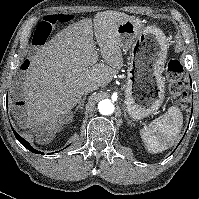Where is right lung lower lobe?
<instances>
[{
	"instance_id": "1",
	"label": "right lung lower lobe",
	"mask_w": 199,
	"mask_h": 199,
	"mask_svg": "<svg viewBox=\"0 0 199 199\" xmlns=\"http://www.w3.org/2000/svg\"><path fill=\"white\" fill-rule=\"evenodd\" d=\"M13 132H14V135L15 137L17 138V140L25 147L27 148L29 151L33 152V153H36V154H43V152H40L36 149H34L30 144L29 142H27L25 139H23L21 136H19L15 131L14 129L12 128Z\"/></svg>"
}]
</instances>
